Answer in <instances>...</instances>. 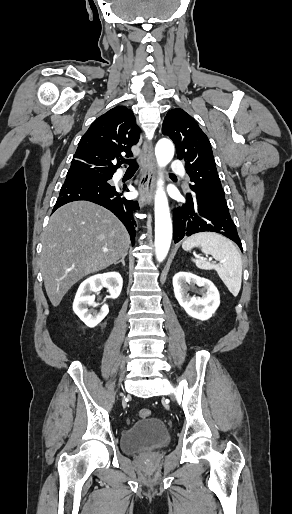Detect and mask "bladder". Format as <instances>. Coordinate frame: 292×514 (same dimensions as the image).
<instances>
[{
    "mask_svg": "<svg viewBox=\"0 0 292 514\" xmlns=\"http://www.w3.org/2000/svg\"><path fill=\"white\" fill-rule=\"evenodd\" d=\"M170 441L164 422L156 417L140 419L126 428L121 435V448L127 454L166 446Z\"/></svg>",
    "mask_w": 292,
    "mask_h": 514,
    "instance_id": "1",
    "label": "bladder"
}]
</instances>
